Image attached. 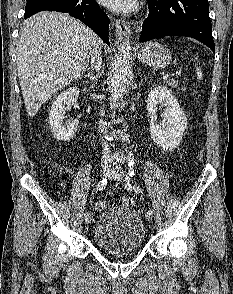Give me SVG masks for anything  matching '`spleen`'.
<instances>
[{"mask_svg":"<svg viewBox=\"0 0 233 294\" xmlns=\"http://www.w3.org/2000/svg\"><path fill=\"white\" fill-rule=\"evenodd\" d=\"M195 62L197 61V58H195L194 60ZM196 67V76H197V80H201L202 79V72L201 69L198 67V64L195 65Z\"/></svg>","mask_w":233,"mask_h":294,"instance_id":"1","label":"spleen"}]
</instances>
